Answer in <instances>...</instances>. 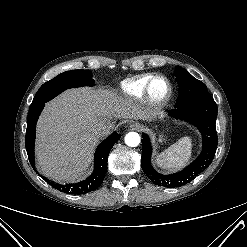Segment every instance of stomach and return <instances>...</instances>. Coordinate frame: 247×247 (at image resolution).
Instances as JSON below:
<instances>
[{"mask_svg": "<svg viewBox=\"0 0 247 247\" xmlns=\"http://www.w3.org/2000/svg\"><path fill=\"white\" fill-rule=\"evenodd\" d=\"M164 140H165L164 135L161 134V135L158 136V140L157 141L159 143H162Z\"/></svg>", "mask_w": 247, "mask_h": 247, "instance_id": "1", "label": "stomach"}]
</instances>
